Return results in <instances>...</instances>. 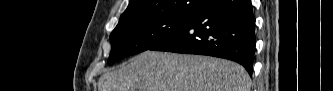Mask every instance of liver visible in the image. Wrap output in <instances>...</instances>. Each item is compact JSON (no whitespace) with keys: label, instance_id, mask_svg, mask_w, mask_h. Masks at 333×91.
I'll return each mask as SVG.
<instances>
[{"label":"liver","instance_id":"1","mask_svg":"<svg viewBox=\"0 0 333 91\" xmlns=\"http://www.w3.org/2000/svg\"><path fill=\"white\" fill-rule=\"evenodd\" d=\"M239 64L224 59L145 51L106 72L98 91H250Z\"/></svg>","mask_w":333,"mask_h":91}]
</instances>
